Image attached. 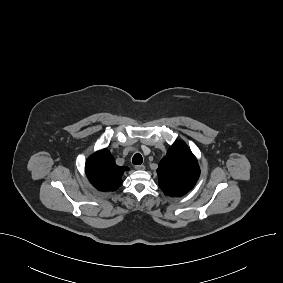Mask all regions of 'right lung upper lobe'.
Segmentation results:
<instances>
[{
	"mask_svg": "<svg viewBox=\"0 0 283 283\" xmlns=\"http://www.w3.org/2000/svg\"><path fill=\"white\" fill-rule=\"evenodd\" d=\"M127 167L116 165L107 149L90 156L85 165L86 175L91 184L101 191H115L122 184L121 176Z\"/></svg>",
	"mask_w": 283,
	"mask_h": 283,
	"instance_id": "right-lung-upper-lobe-1",
	"label": "right lung upper lobe"
}]
</instances>
